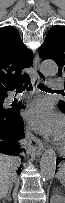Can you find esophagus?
I'll list each match as a JSON object with an SVG mask.
<instances>
[{
  "mask_svg": "<svg viewBox=\"0 0 65 203\" xmlns=\"http://www.w3.org/2000/svg\"><path fill=\"white\" fill-rule=\"evenodd\" d=\"M33 68L35 71V77L33 78L32 83H33L34 87H37V84L39 82H44L47 79L46 75L43 74L40 70L39 56L35 57L34 63H33ZM28 135H29V141H28L29 150L36 156L41 155V153L44 150L43 142L31 133H29Z\"/></svg>",
  "mask_w": 65,
  "mask_h": 203,
  "instance_id": "1",
  "label": "esophagus"
}]
</instances>
